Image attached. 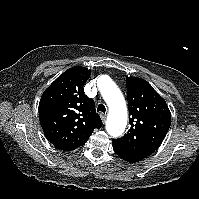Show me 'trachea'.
Instances as JSON below:
<instances>
[{
    "mask_svg": "<svg viewBox=\"0 0 199 199\" xmlns=\"http://www.w3.org/2000/svg\"><path fill=\"white\" fill-rule=\"evenodd\" d=\"M97 111L105 113L106 108L103 104H99L98 107H97Z\"/></svg>",
    "mask_w": 199,
    "mask_h": 199,
    "instance_id": "1",
    "label": "trachea"
}]
</instances>
